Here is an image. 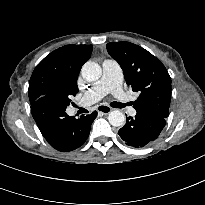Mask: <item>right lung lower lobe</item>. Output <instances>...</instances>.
<instances>
[{
    "mask_svg": "<svg viewBox=\"0 0 205 205\" xmlns=\"http://www.w3.org/2000/svg\"><path fill=\"white\" fill-rule=\"evenodd\" d=\"M67 106L58 94H47L31 104L32 116L47 142L56 150L72 151L88 138L94 111L76 119L65 112Z\"/></svg>",
    "mask_w": 205,
    "mask_h": 205,
    "instance_id": "1",
    "label": "right lung lower lobe"
}]
</instances>
